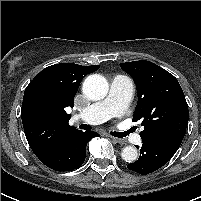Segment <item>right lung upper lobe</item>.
<instances>
[{"mask_svg":"<svg viewBox=\"0 0 201 201\" xmlns=\"http://www.w3.org/2000/svg\"><path fill=\"white\" fill-rule=\"evenodd\" d=\"M99 65L81 66L60 63L43 69L26 87L22 103V123L27 141L35 155L51 150L77 130L69 126L74 96L88 73Z\"/></svg>","mask_w":201,"mask_h":201,"instance_id":"1","label":"right lung upper lobe"}]
</instances>
